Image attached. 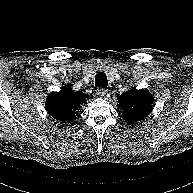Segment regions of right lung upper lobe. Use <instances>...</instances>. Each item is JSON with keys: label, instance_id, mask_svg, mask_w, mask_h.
Instances as JSON below:
<instances>
[{"label": "right lung upper lobe", "instance_id": "cb5924a9", "mask_svg": "<svg viewBox=\"0 0 193 193\" xmlns=\"http://www.w3.org/2000/svg\"><path fill=\"white\" fill-rule=\"evenodd\" d=\"M87 94L75 92L71 86H65L59 92H52L46 99V110L62 123L75 119L76 110L85 102Z\"/></svg>", "mask_w": 193, "mask_h": 193}]
</instances>
